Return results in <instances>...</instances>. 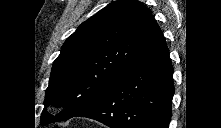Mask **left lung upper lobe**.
<instances>
[{"label": "left lung upper lobe", "mask_w": 221, "mask_h": 128, "mask_svg": "<svg viewBox=\"0 0 221 128\" xmlns=\"http://www.w3.org/2000/svg\"><path fill=\"white\" fill-rule=\"evenodd\" d=\"M151 11L136 0H117L83 22L54 61L41 123L70 119L101 99L160 39Z\"/></svg>", "instance_id": "5c2ea615"}]
</instances>
